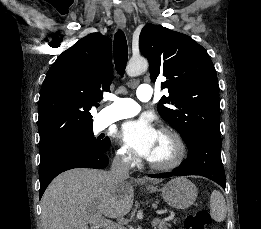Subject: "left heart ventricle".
<instances>
[{"label":"left heart ventricle","instance_id":"obj_1","mask_svg":"<svg viewBox=\"0 0 261 229\" xmlns=\"http://www.w3.org/2000/svg\"><path fill=\"white\" fill-rule=\"evenodd\" d=\"M172 153L173 149L169 139L166 136L159 134L149 160L153 162H165L171 157Z\"/></svg>","mask_w":261,"mask_h":229}]
</instances>
